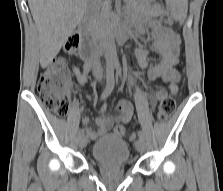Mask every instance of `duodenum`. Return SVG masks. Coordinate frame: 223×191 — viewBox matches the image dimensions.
<instances>
[{
	"mask_svg": "<svg viewBox=\"0 0 223 191\" xmlns=\"http://www.w3.org/2000/svg\"><path fill=\"white\" fill-rule=\"evenodd\" d=\"M114 32H115V39L119 44H122L125 41L127 31L126 29L118 23L114 27ZM98 50V42H90L89 44L84 46L83 51L81 52V56L84 59H87L88 63H95V55Z\"/></svg>",
	"mask_w": 223,
	"mask_h": 191,
	"instance_id": "1",
	"label": "duodenum"
}]
</instances>
